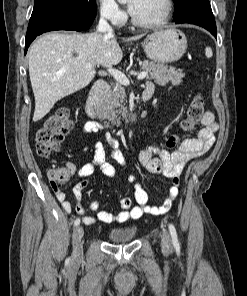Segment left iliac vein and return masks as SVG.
<instances>
[{
  "label": "left iliac vein",
  "mask_w": 247,
  "mask_h": 296,
  "mask_svg": "<svg viewBox=\"0 0 247 296\" xmlns=\"http://www.w3.org/2000/svg\"><path fill=\"white\" fill-rule=\"evenodd\" d=\"M162 246L165 249H169L171 247V238L167 231H164L162 235Z\"/></svg>",
  "instance_id": "4c4485c4"
}]
</instances>
